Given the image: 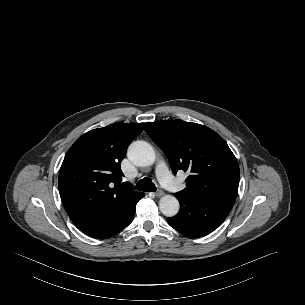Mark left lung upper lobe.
I'll use <instances>...</instances> for the list:
<instances>
[{
  "mask_svg": "<svg viewBox=\"0 0 305 305\" xmlns=\"http://www.w3.org/2000/svg\"><path fill=\"white\" fill-rule=\"evenodd\" d=\"M146 133L164 151L172 171H189L187 198H236L240 171L227 143L213 130L182 120L148 122Z\"/></svg>",
  "mask_w": 305,
  "mask_h": 305,
  "instance_id": "1",
  "label": "left lung upper lobe"
}]
</instances>
